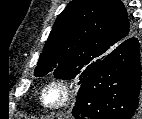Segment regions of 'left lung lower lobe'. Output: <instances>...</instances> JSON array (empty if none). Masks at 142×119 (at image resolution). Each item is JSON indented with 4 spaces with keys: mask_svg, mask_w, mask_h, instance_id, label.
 I'll list each match as a JSON object with an SVG mask.
<instances>
[{
    "mask_svg": "<svg viewBox=\"0 0 142 119\" xmlns=\"http://www.w3.org/2000/svg\"><path fill=\"white\" fill-rule=\"evenodd\" d=\"M76 119H140V46L129 37L115 47L81 84Z\"/></svg>",
    "mask_w": 142,
    "mask_h": 119,
    "instance_id": "1",
    "label": "left lung lower lobe"
}]
</instances>
